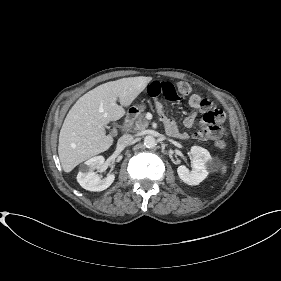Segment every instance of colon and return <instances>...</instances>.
I'll return each instance as SVG.
<instances>
[{
	"label": "colon",
	"mask_w": 281,
	"mask_h": 281,
	"mask_svg": "<svg viewBox=\"0 0 281 281\" xmlns=\"http://www.w3.org/2000/svg\"><path fill=\"white\" fill-rule=\"evenodd\" d=\"M191 87L187 82H178L176 84L168 82H153L148 88V93L152 98H165L168 101H178L187 96ZM223 113L218 110L209 111L205 114L207 129L200 133L201 138H206L209 134L221 131L223 122ZM215 146L220 149L226 147V142L222 139L215 141Z\"/></svg>",
	"instance_id": "1"
}]
</instances>
